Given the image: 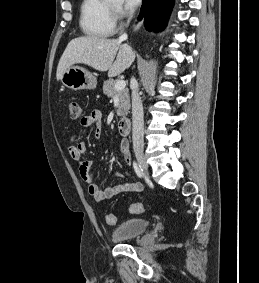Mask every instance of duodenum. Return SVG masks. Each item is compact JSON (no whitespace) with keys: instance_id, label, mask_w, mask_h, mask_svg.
I'll return each mask as SVG.
<instances>
[{"instance_id":"410a0bca","label":"duodenum","mask_w":259,"mask_h":283,"mask_svg":"<svg viewBox=\"0 0 259 283\" xmlns=\"http://www.w3.org/2000/svg\"><path fill=\"white\" fill-rule=\"evenodd\" d=\"M131 126V121L129 118L125 117L119 120L117 124V129L120 135L125 136L129 133Z\"/></svg>"}]
</instances>
